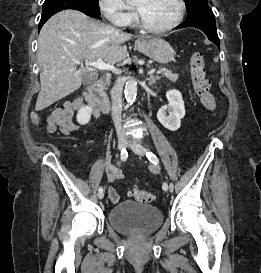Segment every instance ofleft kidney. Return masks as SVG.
Listing matches in <instances>:
<instances>
[{"mask_svg":"<svg viewBox=\"0 0 261 273\" xmlns=\"http://www.w3.org/2000/svg\"><path fill=\"white\" fill-rule=\"evenodd\" d=\"M166 98L168 105L162 106L158 113L157 119L168 130L176 131L181 126V119L185 116V106L180 91L172 89L167 91ZM166 111L169 115H166Z\"/></svg>","mask_w":261,"mask_h":273,"instance_id":"left-kidney-1","label":"left kidney"}]
</instances>
